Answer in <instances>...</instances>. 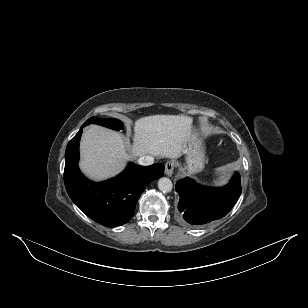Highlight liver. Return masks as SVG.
Returning <instances> with one entry per match:
<instances>
[{
    "mask_svg": "<svg viewBox=\"0 0 308 308\" xmlns=\"http://www.w3.org/2000/svg\"><path fill=\"white\" fill-rule=\"evenodd\" d=\"M192 119L182 115H152L134 123L133 144L128 148L121 135L92 125L80 143L82 172L91 179L104 180L123 170L127 161L149 154L177 158L184 153Z\"/></svg>",
    "mask_w": 308,
    "mask_h": 308,
    "instance_id": "6515ba94",
    "label": "liver"
}]
</instances>
